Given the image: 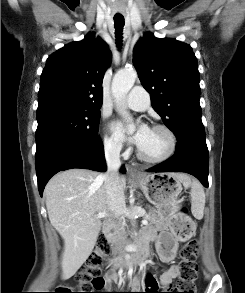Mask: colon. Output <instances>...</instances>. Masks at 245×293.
Returning <instances> with one entry per match:
<instances>
[{
	"instance_id": "1",
	"label": "colon",
	"mask_w": 245,
	"mask_h": 293,
	"mask_svg": "<svg viewBox=\"0 0 245 293\" xmlns=\"http://www.w3.org/2000/svg\"><path fill=\"white\" fill-rule=\"evenodd\" d=\"M183 214L187 213L185 207L181 208ZM191 223L187 218H183L174 222L172 226V234L174 236H182L188 232ZM98 253L90 256L85 264L77 273L78 289L84 292H72V293H98L91 291H99L106 287V281L101 276L103 267L102 257L110 254V246L107 239L104 236H100L97 239ZM199 255V244L196 240L187 242L181 249V261L179 263V280L175 283V286L171 289L170 293H195V280L197 278L198 268L196 265V259ZM153 283L151 282V286ZM55 292L50 293H71L72 288L63 286L56 288Z\"/></svg>"
}]
</instances>
